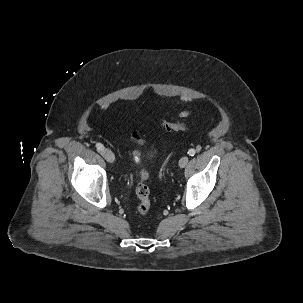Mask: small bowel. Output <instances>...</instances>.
<instances>
[{
    "instance_id": "obj_1",
    "label": "small bowel",
    "mask_w": 303,
    "mask_h": 303,
    "mask_svg": "<svg viewBox=\"0 0 303 303\" xmlns=\"http://www.w3.org/2000/svg\"><path fill=\"white\" fill-rule=\"evenodd\" d=\"M189 113L188 112H182L181 115L182 116H187Z\"/></svg>"
}]
</instances>
